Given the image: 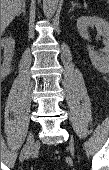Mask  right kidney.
Returning a JSON list of instances; mask_svg holds the SVG:
<instances>
[{
    "label": "right kidney",
    "instance_id": "obj_1",
    "mask_svg": "<svg viewBox=\"0 0 109 170\" xmlns=\"http://www.w3.org/2000/svg\"><path fill=\"white\" fill-rule=\"evenodd\" d=\"M1 47L3 49L1 75L4 78L10 72L11 62H12L14 48H15V40L12 37H5L1 40Z\"/></svg>",
    "mask_w": 109,
    "mask_h": 170
}]
</instances>
